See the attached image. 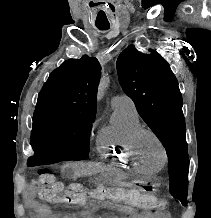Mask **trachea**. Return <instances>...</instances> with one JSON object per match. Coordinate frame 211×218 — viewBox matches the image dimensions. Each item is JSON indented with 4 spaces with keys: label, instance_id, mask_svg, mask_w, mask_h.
<instances>
[{
    "label": "trachea",
    "instance_id": "3493384b",
    "mask_svg": "<svg viewBox=\"0 0 211 218\" xmlns=\"http://www.w3.org/2000/svg\"><path fill=\"white\" fill-rule=\"evenodd\" d=\"M97 28H99V30H108L109 26H101V27H97Z\"/></svg>",
    "mask_w": 211,
    "mask_h": 218
}]
</instances>
